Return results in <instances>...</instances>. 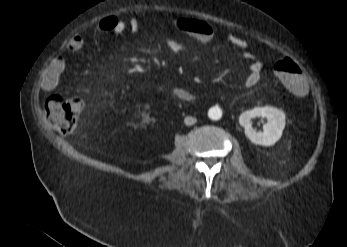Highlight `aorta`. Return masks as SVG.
<instances>
[{"label": "aorta", "mask_w": 347, "mask_h": 247, "mask_svg": "<svg viewBox=\"0 0 347 247\" xmlns=\"http://www.w3.org/2000/svg\"><path fill=\"white\" fill-rule=\"evenodd\" d=\"M208 116L212 120H219L222 117V111L219 108H211L208 112Z\"/></svg>", "instance_id": "1"}]
</instances>
